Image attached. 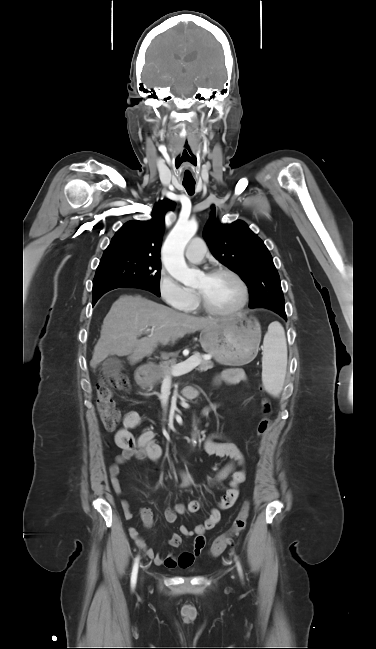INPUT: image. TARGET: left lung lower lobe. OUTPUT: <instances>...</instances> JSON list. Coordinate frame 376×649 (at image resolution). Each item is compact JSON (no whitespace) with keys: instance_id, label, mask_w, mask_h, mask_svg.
Wrapping results in <instances>:
<instances>
[{"instance_id":"obj_1","label":"left lung lower lobe","mask_w":376,"mask_h":649,"mask_svg":"<svg viewBox=\"0 0 376 649\" xmlns=\"http://www.w3.org/2000/svg\"><path fill=\"white\" fill-rule=\"evenodd\" d=\"M282 317L286 319V314H283Z\"/></svg>"}]
</instances>
